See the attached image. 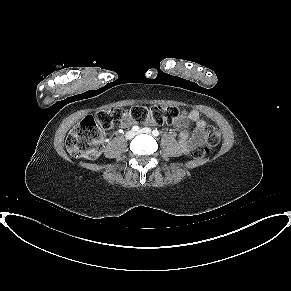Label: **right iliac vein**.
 Instances as JSON below:
<instances>
[{
  "mask_svg": "<svg viewBox=\"0 0 291 291\" xmlns=\"http://www.w3.org/2000/svg\"><path fill=\"white\" fill-rule=\"evenodd\" d=\"M135 136L134 131H128L125 135L126 139H132Z\"/></svg>",
  "mask_w": 291,
  "mask_h": 291,
  "instance_id": "right-iliac-vein-1",
  "label": "right iliac vein"
}]
</instances>
